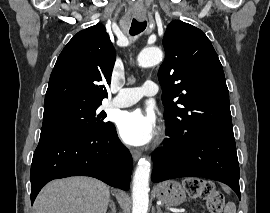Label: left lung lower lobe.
<instances>
[{
	"mask_svg": "<svg viewBox=\"0 0 270 213\" xmlns=\"http://www.w3.org/2000/svg\"><path fill=\"white\" fill-rule=\"evenodd\" d=\"M164 149L155 152L152 181L204 177L230 186L240 199L239 163L232 132L193 130L178 137L171 131Z\"/></svg>",
	"mask_w": 270,
	"mask_h": 213,
	"instance_id": "left-lung-lower-lobe-1",
	"label": "left lung lower lobe"
}]
</instances>
